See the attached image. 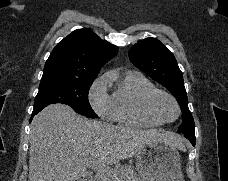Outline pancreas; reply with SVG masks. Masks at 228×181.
<instances>
[{
	"mask_svg": "<svg viewBox=\"0 0 228 181\" xmlns=\"http://www.w3.org/2000/svg\"><path fill=\"white\" fill-rule=\"evenodd\" d=\"M113 171L114 173H112V175H117L114 179H110L112 175H104L107 179L97 175L96 181H141L139 175H137L136 171H134L133 167H130V165H123L120 169H113Z\"/></svg>",
	"mask_w": 228,
	"mask_h": 181,
	"instance_id": "pancreas-1",
	"label": "pancreas"
}]
</instances>
